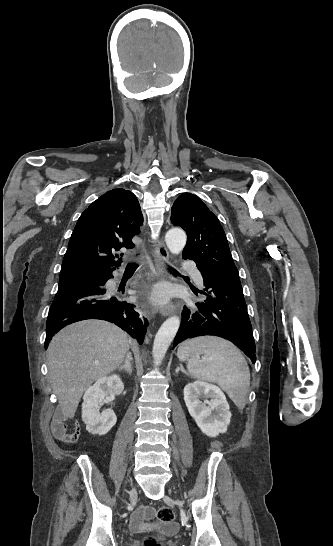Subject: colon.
Segmentation results:
<instances>
[{
  "label": "colon",
  "instance_id": "colon-1",
  "mask_svg": "<svg viewBox=\"0 0 333 546\" xmlns=\"http://www.w3.org/2000/svg\"><path fill=\"white\" fill-rule=\"evenodd\" d=\"M157 517L160 521L167 524L173 523L175 519L172 509L166 506H159L157 508ZM144 546H161V544L149 537L145 539Z\"/></svg>",
  "mask_w": 333,
  "mask_h": 546
}]
</instances>
